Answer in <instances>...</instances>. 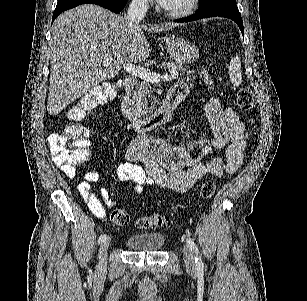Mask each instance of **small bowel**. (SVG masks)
<instances>
[{
	"label": "small bowel",
	"instance_id": "c3829d8e",
	"mask_svg": "<svg viewBox=\"0 0 307 301\" xmlns=\"http://www.w3.org/2000/svg\"><path fill=\"white\" fill-rule=\"evenodd\" d=\"M172 91L184 98L188 87L184 83H178ZM205 113L213 133L212 139H200L187 147H172L161 139H146L141 136L128 147V161L118 166V180L133 182L135 194H141L146 186L153 184L182 193L207 175L220 176L235 172L243 163L249 140L245 125L233 108L222 107L218 100H210L205 106ZM90 144L88 139L87 145ZM221 149L226 151L225 160L208 158L214 150ZM138 160L145 161L146 170L134 163ZM58 165L68 176H75L73 168ZM99 179L100 174L97 171L87 172L78 185V192L89 210L97 218H104L105 206H113L114 202L109 199L104 187L99 189L98 194L93 190V184Z\"/></svg>",
	"mask_w": 307,
	"mask_h": 301
}]
</instances>
